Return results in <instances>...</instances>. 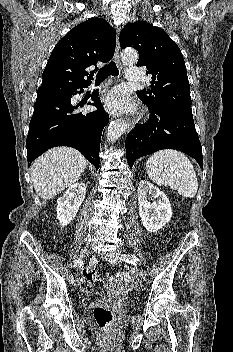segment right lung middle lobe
<instances>
[{"label":"right lung middle lobe","instance_id":"right-lung-middle-lobe-1","mask_svg":"<svg viewBox=\"0 0 233 352\" xmlns=\"http://www.w3.org/2000/svg\"><path fill=\"white\" fill-rule=\"evenodd\" d=\"M72 93L73 89L68 87H41L37 91V100L66 98L69 97Z\"/></svg>","mask_w":233,"mask_h":352}]
</instances>
